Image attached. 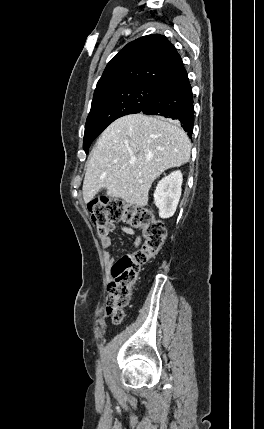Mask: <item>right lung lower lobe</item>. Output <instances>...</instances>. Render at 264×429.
Instances as JSON below:
<instances>
[{
    "label": "right lung lower lobe",
    "mask_w": 264,
    "mask_h": 429,
    "mask_svg": "<svg viewBox=\"0 0 264 429\" xmlns=\"http://www.w3.org/2000/svg\"><path fill=\"white\" fill-rule=\"evenodd\" d=\"M141 112L178 120L188 136L192 137L193 95L183 63L158 85L157 90Z\"/></svg>",
    "instance_id": "right-lung-lower-lobe-1"
}]
</instances>
